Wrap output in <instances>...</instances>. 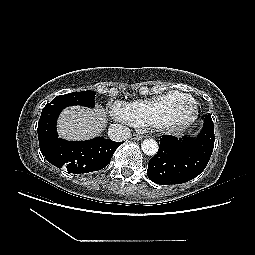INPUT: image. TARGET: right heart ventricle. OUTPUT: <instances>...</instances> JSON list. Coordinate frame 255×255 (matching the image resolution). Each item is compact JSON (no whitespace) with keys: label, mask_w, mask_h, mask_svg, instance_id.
I'll return each instance as SVG.
<instances>
[{"label":"right heart ventricle","mask_w":255,"mask_h":255,"mask_svg":"<svg viewBox=\"0 0 255 255\" xmlns=\"http://www.w3.org/2000/svg\"><path fill=\"white\" fill-rule=\"evenodd\" d=\"M192 97L179 91H169L150 99L124 105L122 120L137 127L153 123L156 117L172 102H189Z\"/></svg>","instance_id":"1"}]
</instances>
